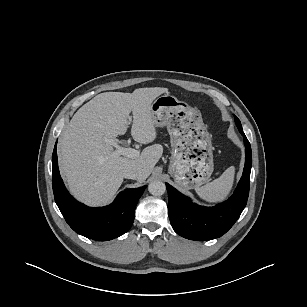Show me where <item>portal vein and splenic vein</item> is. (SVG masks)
<instances>
[{"mask_svg":"<svg viewBox=\"0 0 307 307\" xmlns=\"http://www.w3.org/2000/svg\"><path fill=\"white\" fill-rule=\"evenodd\" d=\"M112 143L113 146L116 148V150L113 152L114 155H123L132 159L138 158L140 155V152L136 149L121 147L116 142Z\"/></svg>","mask_w":307,"mask_h":307,"instance_id":"portal-vein-and-splenic-vein-1","label":"portal vein and splenic vein"}]
</instances>
